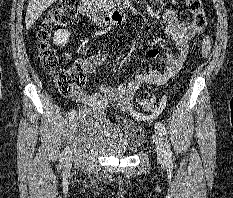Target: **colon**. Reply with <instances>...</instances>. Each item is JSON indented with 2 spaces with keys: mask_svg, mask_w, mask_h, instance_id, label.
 Wrapping results in <instances>:
<instances>
[{
  "mask_svg": "<svg viewBox=\"0 0 233 198\" xmlns=\"http://www.w3.org/2000/svg\"><path fill=\"white\" fill-rule=\"evenodd\" d=\"M186 4L188 10L193 15V25L197 30L202 31L207 24L203 1L186 0ZM74 7L75 0H59L58 4L47 12L37 29L42 65L53 74L56 87L66 95H70L77 87L83 85L85 73L81 64H76L68 69H58V57L55 50L48 44V39L52 28L64 16L69 14ZM210 51L211 40L206 36L200 44V57L202 59L208 57ZM138 107L150 115H155L162 108V102L154 97L145 98L139 101Z\"/></svg>",
  "mask_w": 233,
  "mask_h": 198,
  "instance_id": "obj_1",
  "label": "colon"
}]
</instances>
